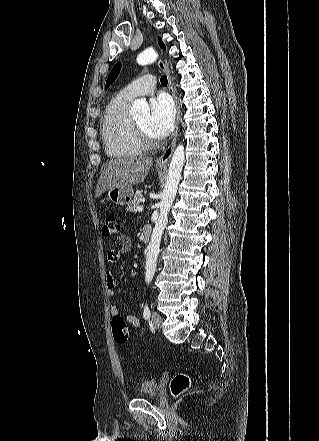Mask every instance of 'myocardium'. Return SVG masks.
<instances>
[{"instance_id":"1","label":"myocardium","mask_w":319,"mask_h":441,"mask_svg":"<svg viewBox=\"0 0 319 441\" xmlns=\"http://www.w3.org/2000/svg\"><path fill=\"white\" fill-rule=\"evenodd\" d=\"M134 126L138 135V138L140 140L141 145L143 148L147 149H153L157 147L158 143L157 141L150 135H148L139 125L137 122H134Z\"/></svg>"}]
</instances>
